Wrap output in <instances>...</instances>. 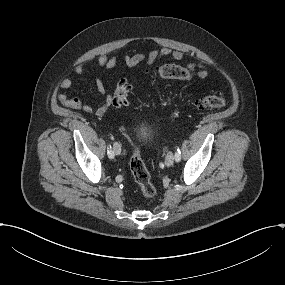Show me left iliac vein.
Segmentation results:
<instances>
[{"label":"left iliac vein","instance_id":"1","mask_svg":"<svg viewBox=\"0 0 285 285\" xmlns=\"http://www.w3.org/2000/svg\"><path fill=\"white\" fill-rule=\"evenodd\" d=\"M179 159V158H178ZM174 161V156L172 152H169L166 156V160H165V164L167 166H171L173 164Z\"/></svg>","mask_w":285,"mask_h":285}]
</instances>
